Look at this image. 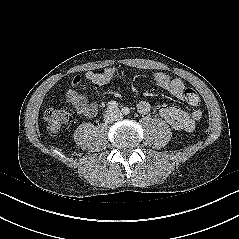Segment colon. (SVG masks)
<instances>
[{"label":"colon","instance_id":"5ec220e1","mask_svg":"<svg viewBox=\"0 0 239 239\" xmlns=\"http://www.w3.org/2000/svg\"><path fill=\"white\" fill-rule=\"evenodd\" d=\"M183 97L190 106H197L200 102L198 93L190 87L183 90ZM46 126L51 134L59 133L71 120V112L68 108H49L45 111Z\"/></svg>","mask_w":239,"mask_h":239}]
</instances>
